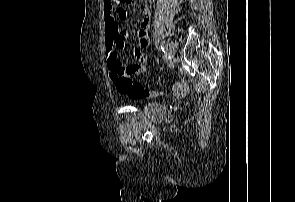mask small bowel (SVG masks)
<instances>
[{"label":"small bowel","mask_w":295,"mask_h":202,"mask_svg":"<svg viewBox=\"0 0 295 202\" xmlns=\"http://www.w3.org/2000/svg\"><path fill=\"white\" fill-rule=\"evenodd\" d=\"M141 23L137 30L138 46L134 48L126 47L127 35L120 29V23L126 19L127 11L124 6L116 5L113 0L104 1V27H105V47L109 71L113 79L116 76L113 73V65L123 64L122 55L128 54L132 62L128 64L131 68L132 77L141 75L146 70L148 61L147 55L142 51L149 43V7L147 4H141Z\"/></svg>","instance_id":"small-bowel-1"}]
</instances>
